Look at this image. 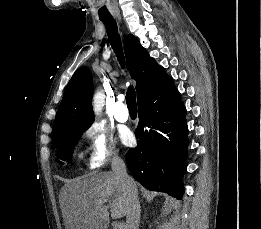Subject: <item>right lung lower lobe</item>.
<instances>
[{"label": "right lung lower lobe", "instance_id": "98d812e1", "mask_svg": "<svg viewBox=\"0 0 261 229\" xmlns=\"http://www.w3.org/2000/svg\"><path fill=\"white\" fill-rule=\"evenodd\" d=\"M136 148L126 153V163L134 179L151 191L181 199L188 147L185 115L171 77L140 96Z\"/></svg>", "mask_w": 261, "mask_h": 229}]
</instances>
